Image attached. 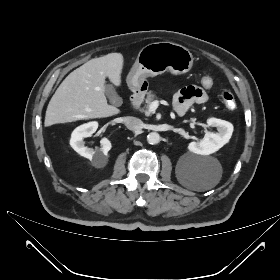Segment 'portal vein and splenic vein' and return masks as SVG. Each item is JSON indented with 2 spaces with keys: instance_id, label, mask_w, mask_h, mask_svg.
Wrapping results in <instances>:
<instances>
[{
  "instance_id": "18ae733b",
  "label": "portal vein and splenic vein",
  "mask_w": 280,
  "mask_h": 280,
  "mask_svg": "<svg viewBox=\"0 0 280 280\" xmlns=\"http://www.w3.org/2000/svg\"><path fill=\"white\" fill-rule=\"evenodd\" d=\"M158 106H159V101H153L149 105L148 114L154 113L156 111V109L158 108Z\"/></svg>"
}]
</instances>
